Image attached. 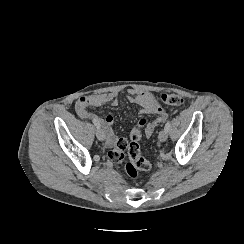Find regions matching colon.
Wrapping results in <instances>:
<instances>
[{
  "mask_svg": "<svg viewBox=\"0 0 244 244\" xmlns=\"http://www.w3.org/2000/svg\"><path fill=\"white\" fill-rule=\"evenodd\" d=\"M160 100L166 105L177 107L183 106L186 102L183 96L171 92L162 93L160 95ZM147 124L148 119L146 117L139 119L130 132V141L126 138H118L108 153L109 162L113 164H121L125 152H127L128 161L123 165V169L130 179H137L140 171H145L151 168L149 160L142 156L140 146L143 129Z\"/></svg>",
  "mask_w": 244,
  "mask_h": 244,
  "instance_id": "1",
  "label": "colon"
}]
</instances>
